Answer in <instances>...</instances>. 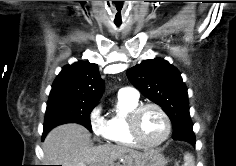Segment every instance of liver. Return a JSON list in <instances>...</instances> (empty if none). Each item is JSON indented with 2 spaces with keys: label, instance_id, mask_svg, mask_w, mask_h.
I'll return each instance as SVG.
<instances>
[{
  "label": "liver",
  "instance_id": "liver-1",
  "mask_svg": "<svg viewBox=\"0 0 236 166\" xmlns=\"http://www.w3.org/2000/svg\"><path fill=\"white\" fill-rule=\"evenodd\" d=\"M90 137L89 131L79 124L55 127L43 143L45 163L62 166H114L117 159L128 165L139 163L144 156V153L121 145L93 146Z\"/></svg>",
  "mask_w": 236,
  "mask_h": 166
}]
</instances>
